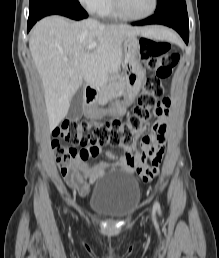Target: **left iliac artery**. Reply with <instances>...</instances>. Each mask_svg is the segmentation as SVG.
Here are the masks:
<instances>
[{
	"instance_id": "left-iliac-artery-1",
	"label": "left iliac artery",
	"mask_w": 219,
	"mask_h": 258,
	"mask_svg": "<svg viewBox=\"0 0 219 258\" xmlns=\"http://www.w3.org/2000/svg\"><path fill=\"white\" fill-rule=\"evenodd\" d=\"M154 210L158 211L159 214H161V208H160V204L158 202H155L154 204Z\"/></svg>"
}]
</instances>
